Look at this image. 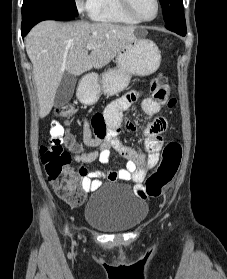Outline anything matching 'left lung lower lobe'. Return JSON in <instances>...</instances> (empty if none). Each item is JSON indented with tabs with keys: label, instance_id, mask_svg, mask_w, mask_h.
Masks as SVG:
<instances>
[{
	"label": "left lung lower lobe",
	"instance_id": "left-lung-lower-lobe-1",
	"mask_svg": "<svg viewBox=\"0 0 227 279\" xmlns=\"http://www.w3.org/2000/svg\"><path fill=\"white\" fill-rule=\"evenodd\" d=\"M166 28L169 29L170 31H173L181 36H185L187 31H186V26H182V27H175V26H169L166 25Z\"/></svg>",
	"mask_w": 227,
	"mask_h": 279
}]
</instances>
